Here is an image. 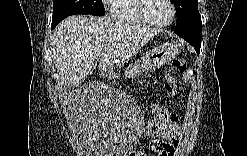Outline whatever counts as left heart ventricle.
Listing matches in <instances>:
<instances>
[{"label": "left heart ventricle", "mask_w": 247, "mask_h": 156, "mask_svg": "<svg viewBox=\"0 0 247 156\" xmlns=\"http://www.w3.org/2000/svg\"><path fill=\"white\" fill-rule=\"evenodd\" d=\"M146 16L155 22H165L170 18V7L164 0L146 1L144 4Z\"/></svg>", "instance_id": "1"}]
</instances>
